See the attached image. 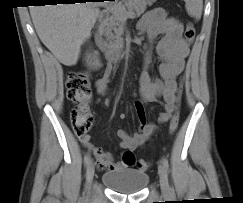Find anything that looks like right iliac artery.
Returning a JSON list of instances; mask_svg holds the SVG:
<instances>
[{"label":"right iliac artery","mask_w":243,"mask_h":203,"mask_svg":"<svg viewBox=\"0 0 243 203\" xmlns=\"http://www.w3.org/2000/svg\"><path fill=\"white\" fill-rule=\"evenodd\" d=\"M89 163H90V155L86 154L84 157V164H85V166H88Z\"/></svg>","instance_id":"82829eb1"}]
</instances>
